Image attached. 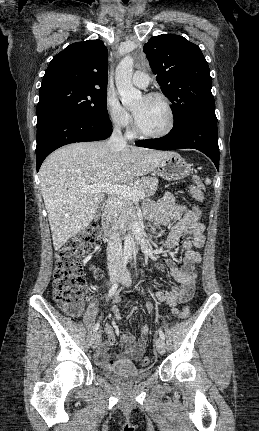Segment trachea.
<instances>
[{
    "label": "trachea",
    "mask_w": 259,
    "mask_h": 431,
    "mask_svg": "<svg viewBox=\"0 0 259 431\" xmlns=\"http://www.w3.org/2000/svg\"><path fill=\"white\" fill-rule=\"evenodd\" d=\"M129 0H123L124 3H127Z\"/></svg>",
    "instance_id": "1"
}]
</instances>
